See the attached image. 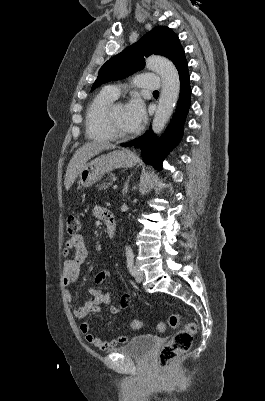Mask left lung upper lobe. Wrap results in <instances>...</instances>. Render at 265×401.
Listing matches in <instances>:
<instances>
[{
  "label": "left lung upper lobe",
  "mask_w": 265,
  "mask_h": 401,
  "mask_svg": "<svg viewBox=\"0 0 265 401\" xmlns=\"http://www.w3.org/2000/svg\"><path fill=\"white\" fill-rule=\"evenodd\" d=\"M151 54L169 58L176 67L185 59L184 51L176 34L166 26H158L146 33L138 42L110 58L99 70L92 90L103 83L122 79L142 69L144 57Z\"/></svg>",
  "instance_id": "obj_1"
}]
</instances>
